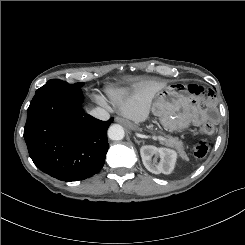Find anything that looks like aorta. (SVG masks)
<instances>
[{
	"label": "aorta",
	"instance_id": "obj_1",
	"mask_svg": "<svg viewBox=\"0 0 245 245\" xmlns=\"http://www.w3.org/2000/svg\"><path fill=\"white\" fill-rule=\"evenodd\" d=\"M108 137L111 140H122L124 138V129L119 124H113L108 129Z\"/></svg>",
	"mask_w": 245,
	"mask_h": 245
}]
</instances>
